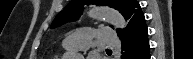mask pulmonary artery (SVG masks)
I'll use <instances>...</instances> for the list:
<instances>
[{"label": "pulmonary artery", "mask_w": 193, "mask_h": 59, "mask_svg": "<svg viewBox=\"0 0 193 59\" xmlns=\"http://www.w3.org/2000/svg\"><path fill=\"white\" fill-rule=\"evenodd\" d=\"M105 28H101L99 31H104ZM98 38L102 43H106L109 46L121 45L117 34L95 32L93 29L84 28L75 32H69L63 41V47L66 50H78L86 49L90 46L91 42Z\"/></svg>", "instance_id": "e3ab8cb5"}]
</instances>
